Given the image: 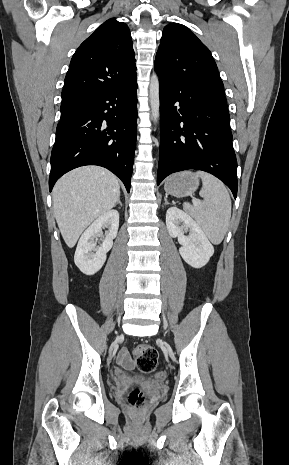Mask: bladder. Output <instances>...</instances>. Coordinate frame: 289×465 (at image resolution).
Masks as SVG:
<instances>
[{
  "mask_svg": "<svg viewBox=\"0 0 289 465\" xmlns=\"http://www.w3.org/2000/svg\"><path fill=\"white\" fill-rule=\"evenodd\" d=\"M139 380H141V381H146V380H148V379H147V378H144V377H139Z\"/></svg>",
  "mask_w": 289,
  "mask_h": 465,
  "instance_id": "obj_1",
  "label": "bladder"
}]
</instances>
